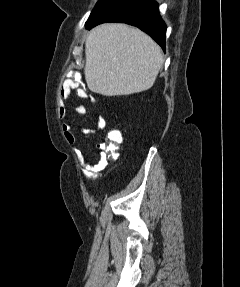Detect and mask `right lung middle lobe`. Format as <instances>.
<instances>
[{"mask_svg":"<svg viewBox=\"0 0 240 287\" xmlns=\"http://www.w3.org/2000/svg\"><path fill=\"white\" fill-rule=\"evenodd\" d=\"M111 0H98L96 6L92 10L88 21L86 22V27L91 24V22L98 16V14L103 10V8L110 2Z\"/></svg>","mask_w":240,"mask_h":287,"instance_id":"1","label":"right lung middle lobe"}]
</instances>
